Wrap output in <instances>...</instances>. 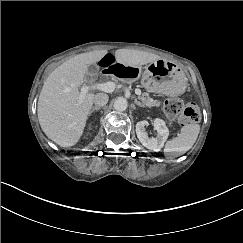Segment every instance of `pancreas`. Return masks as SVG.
I'll return each instance as SVG.
<instances>
[{
	"instance_id": "cf45deb5",
	"label": "pancreas",
	"mask_w": 243,
	"mask_h": 243,
	"mask_svg": "<svg viewBox=\"0 0 243 243\" xmlns=\"http://www.w3.org/2000/svg\"><path fill=\"white\" fill-rule=\"evenodd\" d=\"M139 99L144 103V105L148 107L152 106H160V102L157 100H153L149 97V94L147 92L142 93L141 96H139Z\"/></svg>"
}]
</instances>
